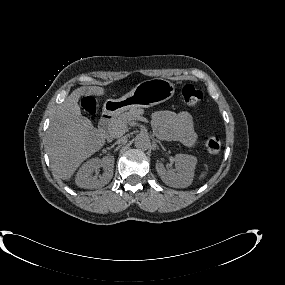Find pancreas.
Segmentation results:
<instances>
[{
    "mask_svg": "<svg viewBox=\"0 0 285 285\" xmlns=\"http://www.w3.org/2000/svg\"><path fill=\"white\" fill-rule=\"evenodd\" d=\"M144 114V110L141 108L131 109L128 112L122 113L114 118L111 127L110 134L113 137H120L127 131V125L131 120H136Z\"/></svg>",
    "mask_w": 285,
    "mask_h": 285,
    "instance_id": "pancreas-1",
    "label": "pancreas"
}]
</instances>
